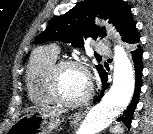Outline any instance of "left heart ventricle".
Wrapping results in <instances>:
<instances>
[{
  "mask_svg": "<svg viewBox=\"0 0 153 134\" xmlns=\"http://www.w3.org/2000/svg\"><path fill=\"white\" fill-rule=\"evenodd\" d=\"M61 94L68 100H80L89 90V82L85 73L77 68L64 69L59 78Z\"/></svg>",
  "mask_w": 153,
  "mask_h": 134,
  "instance_id": "1",
  "label": "left heart ventricle"
}]
</instances>
